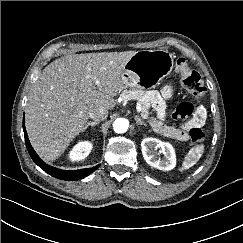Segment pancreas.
<instances>
[{"instance_id": "pancreas-1", "label": "pancreas", "mask_w": 243, "mask_h": 243, "mask_svg": "<svg viewBox=\"0 0 243 243\" xmlns=\"http://www.w3.org/2000/svg\"><path fill=\"white\" fill-rule=\"evenodd\" d=\"M121 98L124 101L138 100L142 104L141 116L144 119H148L149 116V103L147 101L146 92L141 88H132L130 90H124L121 93Z\"/></svg>"}]
</instances>
